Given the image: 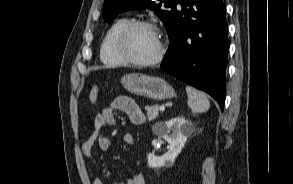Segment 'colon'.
<instances>
[{"label": "colon", "mask_w": 293, "mask_h": 184, "mask_svg": "<svg viewBox=\"0 0 293 184\" xmlns=\"http://www.w3.org/2000/svg\"><path fill=\"white\" fill-rule=\"evenodd\" d=\"M99 94V87L97 85H94L89 93V100L91 104H94L97 100Z\"/></svg>", "instance_id": "obj_1"}]
</instances>
